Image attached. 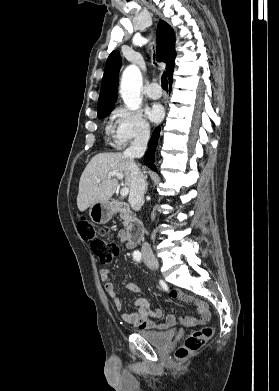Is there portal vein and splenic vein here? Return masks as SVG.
I'll use <instances>...</instances> for the list:
<instances>
[{"mask_svg":"<svg viewBox=\"0 0 279 391\" xmlns=\"http://www.w3.org/2000/svg\"><path fill=\"white\" fill-rule=\"evenodd\" d=\"M114 176H116V177H117L118 179H120V180L123 179V175L120 174V173L111 172V173H109V175H108V177H114ZM96 182L99 183L100 180H97ZM128 193H129V188H128V187H123V188L121 189V191H120V195H121V196H127Z\"/></svg>","mask_w":279,"mask_h":391,"instance_id":"obj_1","label":"portal vein and splenic vein"}]
</instances>
